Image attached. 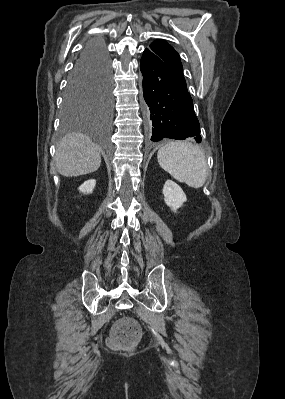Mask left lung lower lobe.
Instances as JSON below:
<instances>
[{
	"mask_svg": "<svg viewBox=\"0 0 285 399\" xmlns=\"http://www.w3.org/2000/svg\"><path fill=\"white\" fill-rule=\"evenodd\" d=\"M143 94L150 118L151 141L194 137L200 143V125L184 76L176 73L151 49L140 61Z\"/></svg>",
	"mask_w": 285,
	"mask_h": 399,
	"instance_id": "left-lung-lower-lobe-1",
	"label": "left lung lower lobe"
}]
</instances>
